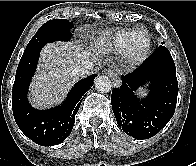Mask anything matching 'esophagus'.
<instances>
[{
  "instance_id": "esophagus-1",
  "label": "esophagus",
  "mask_w": 196,
  "mask_h": 166,
  "mask_svg": "<svg viewBox=\"0 0 196 166\" xmlns=\"http://www.w3.org/2000/svg\"><path fill=\"white\" fill-rule=\"evenodd\" d=\"M106 74H108L112 78L113 83L115 84L116 87L120 86L121 81L119 77L111 69H107Z\"/></svg>"
}]
</instances>
